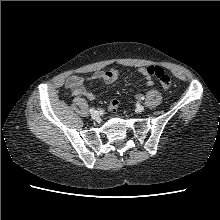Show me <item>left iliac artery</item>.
<instances>
[{
    "mask_svg": "<svg viewBox=\"0 0 220 220\" xmlns=\"http://www.w3.org/2000/svg\"><path fill=\"white\" fill-rule=\"evenodd\" d=\"M140 100H144V96L143 95H140Z\"/></svg>",
    "mask_w": 220,
    "mask_h": 220,
    "instance_id": "44dca946",
    "label": "left iliac artery"
}]
</instances>
